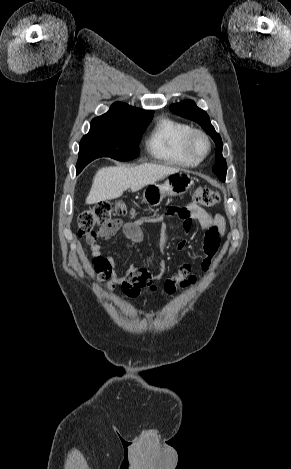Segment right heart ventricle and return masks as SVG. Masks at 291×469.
<instances>
[{"instance_id": "e07e8e85", "label": "right heart ventricle", "mask_w": 291, "mask_h": 469, "mask_svg": "<svg viewBox=\"0 0 291 469\" xmlns=\"http://www.w3.org/2000/svg\"><path fill=\"white\" fill-rule=\"evenodd\" d=\"M192 130L187 123L161 117L154 124L146 140V151L155 160L165 164L191 168L199 161L191 158L185 151L184 141Z\"/></svg>"}]
</instances>
